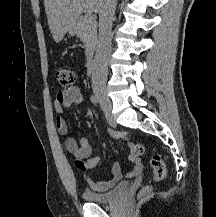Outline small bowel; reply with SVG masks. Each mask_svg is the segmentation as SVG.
Here are the masks:
<instances>
[{
  "instance_id": "small-bowel-1",
  "label": "small bowel",
  "mask_w": 216,
  "mask_h": 217,
  "mask_svg": "<svg viewBox=\"0 0 216 217\" xmlns=\"http://www.w3.org/2000/svg\"><path fill=\"white\" fill-rule=\"evenodd\" d=\"M83 100V95L78 87L64 89L57 92L54 99V108L56 111V127L58 132L65 136V148L71 152L76 158L83 160L86 165V170L95 168L101 160V156H92V148L87 138H81L77 142L73 137L68 135V124L63 117L64 108H72L80 104ZM143 169V165L139 160H134L131 169L128 172V177L134 178L138 176ZM122 178L121 165L115 163L112 167L111 177L107 180L98 181L90 177L85 178L87 186L94 191H104L112 188Z\"/></svg>"
}]
</instances>
